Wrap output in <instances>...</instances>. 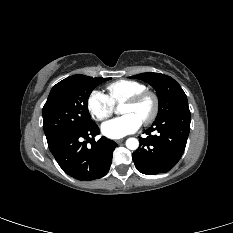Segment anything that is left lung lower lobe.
Here are the masks:
<instances>
[{
	"instance_id": "obj_1",
	"label": "left lung lower lobe",
	"mask_w": 233,
	"mask_h": 233,
	"mask_svg": "<svg viewBox=\"0 0 233 233\" xmlns=\"http://www.w3.org/2000/svg\"><path fill=\"white\" fill-rule=\"evenodd\" d=\"M189 107L169 113L145 131L140 147L132 154L136 168L143 174L156 175L171 170L184 153L190 131ZM156 132L153 135L152 132Z\"/></svg>"
}]
</instances>
